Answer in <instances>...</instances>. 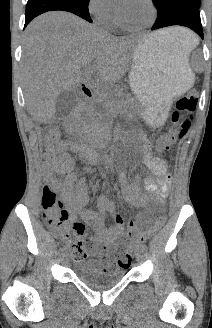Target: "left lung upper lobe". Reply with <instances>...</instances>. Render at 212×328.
<instances>
[{
	"label": "left lung upper lobe",
	"mask_w": 212,
	"mask_h": 328,
	"mask_svg": "<svg viewBox=\"0 0 212 328\" xmlns=\"http://www.w3.org/2000/svg\"><path fill=\"white\" fill-rule=\"evenodd\" d=\"M152 1L155 3L157 7L161 8L163 6V3L166 2L167 0H152ZM189 1L200 7V0H189Z\"/></svg>",
	"instance_id": "1"
}]
</instances>
